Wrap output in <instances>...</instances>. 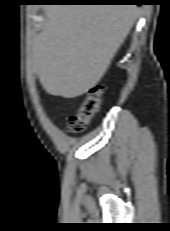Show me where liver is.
<instances>
[{
    "instance_id": "6515ba94",
    "label": "liver",
    "mask_w": 170,
    "mask_h": 231,
    "mask_svg": "<svg viewBox=\"0 0 170 231\" xmlns=\"http://www.w3.org/2000/svg\"><path fill=\"white\" fill-rule=\"evenodd\" d=\"M135 5H51L31 62L48 94L75 98L94 87L133 27Z\"/></svg>"
}]
</instances>
